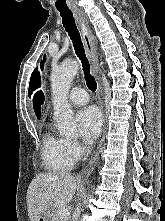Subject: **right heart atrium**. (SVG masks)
<instances>
[{
	"mask_svg": "<svg viewBox=\"0 0 165 221\" xmlns=\"http://www.w3.org/2000/svg\"><path fill=\"white\" fill-rule=\"evenodd\" d=\"M67 147L69 152L75 157H78L82 151L79 142L75 139H67Z\"/></svg>",
	"mask_w": 165,
	"mask_h": 221,
	"instance_id": "d8ad5b80",
	"label": "right heart atrium"
}]
</instances>
